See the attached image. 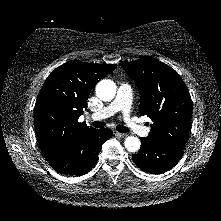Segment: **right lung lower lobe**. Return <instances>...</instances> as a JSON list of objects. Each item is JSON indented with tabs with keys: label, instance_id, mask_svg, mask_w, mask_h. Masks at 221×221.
Masks as SVG:
<instances>
[{
	"label": "right lung lower lobe",
	"instance_id": "right-lung-lower-lobe-1",
	"mask_svg": "<svg viewBox=\"0 0 221 221\" xmlns=\"http://www.w3.org/2000/svg\"><path fill=\"white\" fill-rule=\"evenodd\" d=\"M110 129H94L74 142L49 164L59 173L80 176L90 171L98 160L102 144L112 137Z\"/></svg>",
	"mask_w": 221,
	"mask_h": 221
}]
</instances>
